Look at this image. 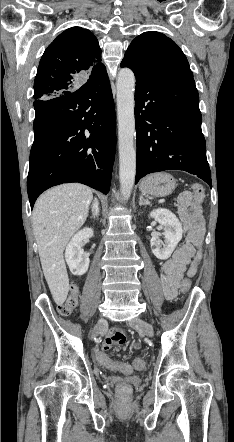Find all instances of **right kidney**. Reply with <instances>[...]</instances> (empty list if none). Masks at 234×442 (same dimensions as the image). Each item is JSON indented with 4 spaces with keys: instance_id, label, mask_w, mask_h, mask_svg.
Listing matches in <instances>:
<instances>
[{
    "instance_id": "1",
    "label": "right kidney",
    "mask_w": 234,
    "mask_h": 442,
    "mask_svg": "<svg viewBox=\"0 0 234 442\" xmlns=\"http://www.w3.org/2000/svg\"><path fill=\"white\" fill-rule=\"evenodd\" d=\"M92 228H83L78 231L70 240L66 247L65 258L72 274L81 276L85 274L89 267V257L85 255L82 249V241L85 238L93 237Z\"/></svg>"
}]
</instances>
